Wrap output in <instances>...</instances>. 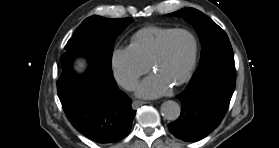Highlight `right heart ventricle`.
Listing matches in <instances>:
<instances>
[{
    "instance_id": "right-heart-ventricle-1",
    "label": "right heart ventricle",
    "mask_w": 279,
    "mask_h": 148,
    "mask_svg": "<svg viewBox=\"0 0 279 148\" xmlns=\"http://www.w3.org/2000/svg\"><path fill=\"white\" fill-rule=\"evenodd\" d=\"M172 30L174 29L155 26L141 29L133 37L131 47L149 65L163 38Z\"/></svg>"
}]
</instances>
